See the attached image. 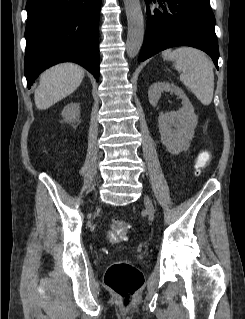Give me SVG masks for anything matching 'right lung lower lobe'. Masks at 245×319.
<instances>
[{
	"label": "right lung lower lobe",
	"mask_w": 245,
	"mask_h": 319,
	"mask_svg": "<svg viewBox=\"0 0 245 319\" xmlns=\"http://www.w3.org/2000/svg\"><path fill=\"white\" fill-rule=\"evenodd\" d=\"M101 0H28L25 77L60 62H76L99 78L98 23Z\"/></svg>",
	"instance_id": "obj_1"
}]
</instances>
